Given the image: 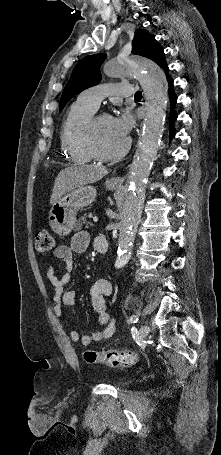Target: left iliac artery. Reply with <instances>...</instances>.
Masks as SVG:
<instances>
[{
	"mask_svg": "<svg viewBox=\"0 0 221 455\" xmlns=\"http://www.w3.org/2000/svg\"><path fill=\"white\" fill-rule=\"evenodd\" d=\"M129 321L131 323H136L138 321V317L133 315L132 317H130Z\"/></svg>",
	"mask_w": 221,
	"mask_h": 455,
	"instance_id": "1",
	"label": "left iliac artery"
}]
</instances>
